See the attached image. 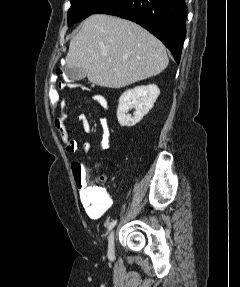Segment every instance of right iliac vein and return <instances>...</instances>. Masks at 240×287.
I'll list each match as a JSON object with an SVG mask.
<instances>
[{"instance_id": "obj_1", "label": "right iliac vein", "mask_w": 240, "mask_h": 287, "mask_svg": "<svg viewBox=\"0 0 240 287\" xmlns=\"http://www.w3.org/2000/svg\"><path fill=\"white\" fill-rule=\"evenodd\" d=\"M115 234L114 231H112L108 236V254L113 255L114 254V246H115Z\"/></svg>"}]
</instances>
